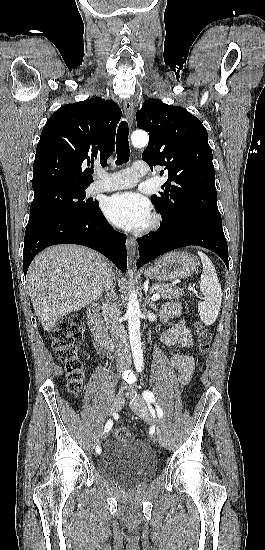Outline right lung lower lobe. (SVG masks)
<instances>
[{
	"label": "right lung lower lobe",
	"mask_w": 265,
	"mask_h": 550,
	"mask_svg": "<svg viewBox=\"0 0 265 550\" xmlns=\"http://www.w3.org/2000/svg\"><path fill=\"white\" fill-rule=\"evenodd\" d=\"M126 235L115 231L104 218L98 203L87 214H60L29 221L23 250L26 275L33 258L55 244H79L109 258L122 272L127 269Z\"/></svg>",
	"instance_id": "98d812e1"
}]
</instances>
